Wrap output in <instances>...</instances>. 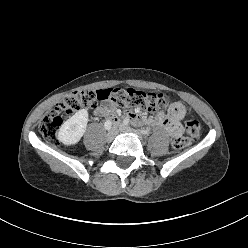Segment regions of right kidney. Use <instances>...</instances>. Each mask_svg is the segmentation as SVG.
<instances>
[{"instance_id": "right-kidney-1", "label": "right kidney", "mask_w": 248, "mask_h": 248, "mask_svg": "<svg viewBox=\"0 0 248 248\" xmlns=\"http://www.w3.org/2000/svg\"><path fill=\"white\" fill-rule=\"evenodd\" d=\"M88 112L81 109L63 123L58 132V139L66 146L77 144L86 131Z\"/></svg>"}]
</instances>
